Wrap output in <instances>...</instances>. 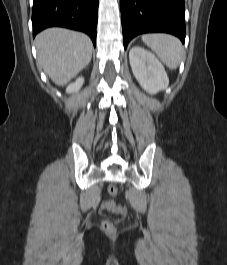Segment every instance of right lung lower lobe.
I'll return each instance as SVG.
<instances>
[{"label": "right lung lower lobe", "instance_id": "98d812e1", "mask_svg": "<svg viewBox=\"0 0 227 265\" xmlns=\"http://www.w3.org/2000/svg\"><path fill=\"white\" fill-rule=\"evenodd\" d=\"M99 0H34L33 37L41 30L60 26L82 31L96 45Z\"/></svg>", "mask_w": 227, "mask_h": 265}]
</instances>
